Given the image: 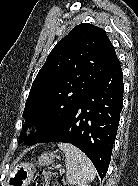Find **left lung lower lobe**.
Masks as SVG:
<instances>
[{
  "instance_id": "0a47b994",
  "label": "left lung lower lobe",
  "mask_w": 138,
  "mask_h": 186,
  "mask_svg": "<svg viewBox=\"0 0 138 186\" xmlns=\"http://www.w3.org/2000/svg\"><path fill=\"white\" fill-rule=\"evenodd\" d=\"M122 103L123 78L118 62L92 87L65 121L37 143L64 142L78 147L103 179L109 167Z\"/></svg>"
}]
</instances>
